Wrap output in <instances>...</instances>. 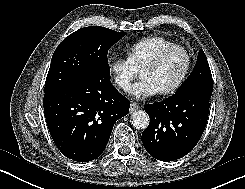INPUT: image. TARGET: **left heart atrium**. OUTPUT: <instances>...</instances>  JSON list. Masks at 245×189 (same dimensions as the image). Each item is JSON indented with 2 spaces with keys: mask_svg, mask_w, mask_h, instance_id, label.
<instances>
[{
  "mask_svg": "<svg viewBox=\"0 0 245 189\" xmlns=\"http://www.w3.org/2000/svg\"><path fill=\"white\" fill-rule=\"evenodd\" d=\"M130 94L138 99L155 96L160 91L148 79L141 78L129 90Z\"/></svg>",
  "mask_w": 245,
  "mask_h": 189,
  "instance_id": "1",
  "label": "left heart atrium"
}]
</instances>
